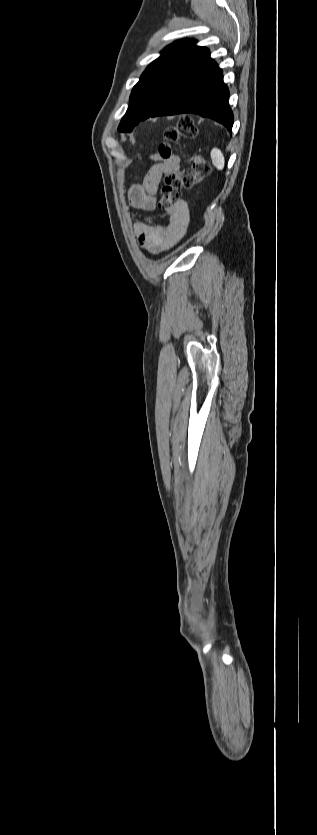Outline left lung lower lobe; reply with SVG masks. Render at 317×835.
Instances as JSON below:
<instances>
[{
  "label": "left lung lower lobe",
  "instance_id": "obj_1",
  "mask_svg": "<svg viewBox=\"0 0 317 835\" xmlns=\"http://www.w3.org/2000/svg\"><path fill=\"white\" fill-rule=\"evenodd\" d=\"M222 71L205 49L184 71L167 99L151 117L192 113L210 118L231 132L234 116Z\"/></svg>",
  "mask_w": 317,
  "mask_h": 835
}]
</instances>
